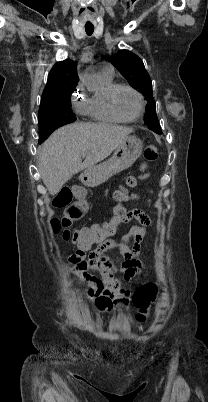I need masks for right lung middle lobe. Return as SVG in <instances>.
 Segmentation results:
<instances>
[{
  "label": "right lung middle lobe",
  "mask_w": 208,
  "mask_h": 402,
  "mask_svg": "<svg viewBox=\"0 0 208 402\" xmlns=\"http://www.w3.org/2000/svg\"><path fill=\"white\" fill-rule=\"evenodd\" d=\"M75 87L50 92L41 98L38 119L39 123L47 120H57L68 124L76 120L70 108V98ZM46 137L40 132L39 143Z\"/></svg>",
  "instance_id": "right-lung-middle-lobe-1"
}]
</instances>
